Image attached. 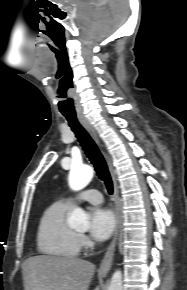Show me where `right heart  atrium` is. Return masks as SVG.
<instances>
[{
    "instance_id": "right-heart-atrium-1",
    "label": "right heart atrium",
    "mask_w": 187,
    "mask_h": 290,
    "mask_svg": "<svg viewBox=\"0 0 187 290\" xmlns=\"http://www.w3.org/2000/svg\"><path fill=\"white\" fill-rule=\"evenodd\" d=\"M79 241H80L81 246H88L89 244L88 238L84 235H79Z\"/></svg>"
}]
</instances>
